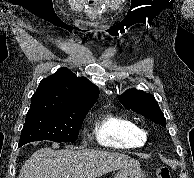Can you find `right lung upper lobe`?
I'll use <instances>...</instances> for the list:
<instances>
[{"label":"right lung upper lobe","mask_w":194,"mask_h":178,"mask_svg":"<svg viewBox=\"0 0 194 178\" xmlns=\"http://www.w3.org/2000/svg\"><path fill=\"white\" fill-rule=\"evenodd\" d=\"M99 96V89L67 68L43 79L31 102L45 101L72 111H89Z\"/></svg>","instance_id":"cb5924a9"}]
</instances>
